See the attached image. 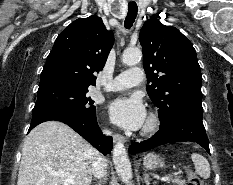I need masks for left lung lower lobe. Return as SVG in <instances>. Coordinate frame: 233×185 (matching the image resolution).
I'll use <instances>...</instances> for the list:
<instances>
[{
    "label": "left lung lower lobe",
    "instance_id": "1",
    "mask_svg": "<svg viewBox=\"0 0 233 185\" xmlns=\"http://www.w3.org/2000/svg\"><path fill=\"white\" fill-rule=\"evenodd\" d=\"M203 108L201 102L190 103L168 125L160 130L149 140L133 142L129 147L130 153H139L150 150L162 144L191 141L201 145L209 154V142L202 122Z\"/></svg>",
    "mask_w": 233,
    "mask_h": 185
}]
</instances>
